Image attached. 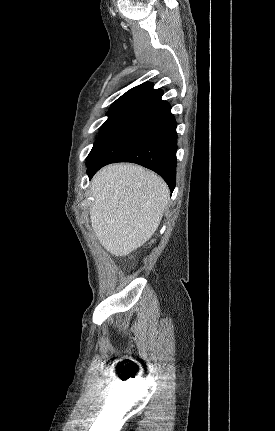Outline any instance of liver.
<instances>
[{"mask_svg": "<svg viewBox=\"0 0 275 431\" xmlns=\"http://www.w3.org/2000/svg\"><path fill=\"white\" fill-rule=\"evenodd\" d=\"M91 225L112 255L126 256L157 230L169 201V188L152 171L133 164L102 168L91 182Z\"/></svg>", "mask_w": 275, "mask_h": 431, "instance_id": "1", "label": "liver"}]
</instances>
